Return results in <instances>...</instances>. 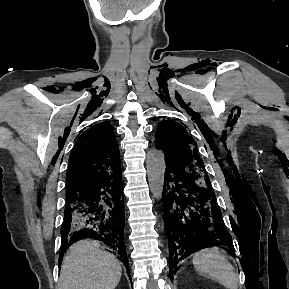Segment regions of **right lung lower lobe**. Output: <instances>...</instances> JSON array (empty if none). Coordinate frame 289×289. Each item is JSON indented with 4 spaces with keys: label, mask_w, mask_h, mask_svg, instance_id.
<instances>
[{
    "label": "right lung lower lobe",
    "mask_w": 289,
    "mask_h": 289,
    "mask_svg": "<svg viewBox=\"0 0 289 289\" xmlns=\"http://www.w3.org/2000/svg\"><path fill=\"white\" fill-rule=\"evenodd\" d=\"M124 220L121 173L116 177H104L84 191L66 195L59 265L65 250L74 241L90 238L103 242L118 254L129 274Z\"/></svg>",
    "instance_id": "98d812e1"
}]
</instances>
